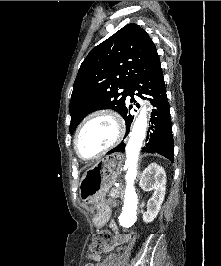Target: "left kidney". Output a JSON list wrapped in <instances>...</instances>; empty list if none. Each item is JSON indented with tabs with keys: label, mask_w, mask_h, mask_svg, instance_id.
I'll list each match as a JSON object with an SVG mask.
<instances>
[{
	"label": "left kidney",
	"mask_w": 221,
	"mask_h": 266,
	"mask_svg": "<svg viewBox=\"0 0 221 266\" xmlns=\"http://www.w3.org/2000/svg\"><path fill=\"white\" fill-rule=\"evenodd\" d=\"M143 189H154L152 197L147 203V212L143 214L145 223L152 222L158 215L166 192V173L163 167L151 163L143 171L140 179Z\"/></svg>",
	"instance_id": "5707ae66"
}]
</instances>
